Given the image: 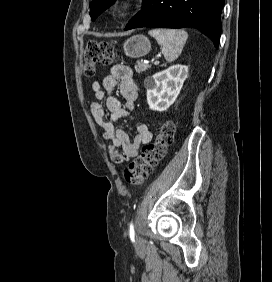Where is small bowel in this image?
<instances>
[{
    "label": "small bowel",
    "instance_id": "obj_1",
    "mask_svg": "<svg viewBox=\"0 0 272 282\" xmlns=\"http://www.w3.org/2000/svg\"><path fill=\"white\" fill-rule=\"evenodd\" d=\"M117 87L125 99L124 107L113 95ZM92 89L97 101L91 103L90 112L95 122L103 128L104 138L111 142L108 146L109 158L118 164L134 158L140 146L152 141L153 134L144 123L136 122V134L131 140L125 131L116 129L114 125L116 120L130 117L135 109L140 88L133 78L132 70L126 65H114L102 82L92 84ZM105 109L110 112L109 120L106 119Z\"/></svg>",
    "mask_w": 272,
    "mask_h": 282
}]
</instances>
